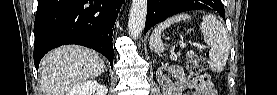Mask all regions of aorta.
<instances>
[{"mask_svg":"<svg viewBox=\"0 0 277 95\" xmlns=\"http://www.w3.org/2000/svg\"><path fill=\"white\" fill-rule=\"evenodd\" d=\"M147 15V0H132L129 20L128 31L133 39H138L145 26Z\"/></svg>","mask_w":277,"mask_h":95,"instance_id":"1","label":"aorta"}]
</instances>
